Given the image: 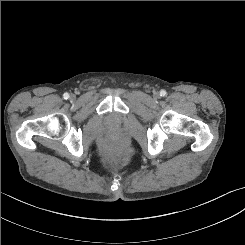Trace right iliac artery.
Returning a JSON list of instances; mask_svg holds the SVG:
<instances>
[{"mask_svg":"<svg viewBox=\"0 0 245 245\" xmlns=\"http://www.w3.org/2000/svg\"><path fill=\"white\" fill-rule=\"evenodd\" d=\"M63 98L64 99H68L69 98V94L68 93H64Z\"/></svg>","mask_w":245,"mask_h":245,"instance_id":"right-iliac-artery-1","label":"right iliac artery"}]
</instances>
